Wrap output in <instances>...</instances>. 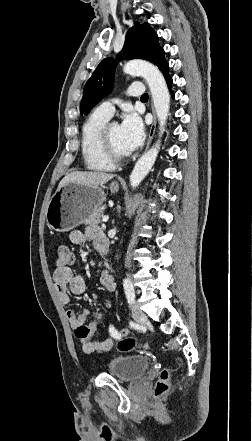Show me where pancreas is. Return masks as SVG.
<instances>
[{
  "mask_svg": "<svg viewBox=\"0 0 252 441\" xmlns=\"http://www.w3.org/2000/svg\"><path fill=\"white\" fill-rule=\"evenodd\" d=\"M106 205H101L97 209L93 211V213L89 216V218L86 220L87 224L95 225L101 223V217L103 215L104 209Z\"/></svg>",
  "mask_w": 252,
  "mask_h": 441,
  "instance_id": "1",
  "label": "pancreas"
}]
</instances>
